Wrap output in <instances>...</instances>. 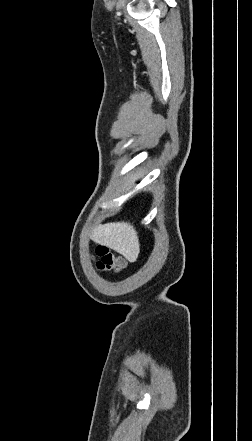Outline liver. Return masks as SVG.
Listing matches in <instances>:
<instances>
[{"instance_id":"liver-1","label":"liver","mask_w":252,"mask_h":441,"mask_svg":"<svg viewBox=\"0 0 252 441\" xmlns=\"http://www.w3.org/2000/svg\"><path fill=\"white\" fill-rule=\"evenodd\" d=\"M94 242L107 246L129 262H135L140 252L137 232L128 222H111L97 226L92 234Z\"/></svg>"}]
</instances>
